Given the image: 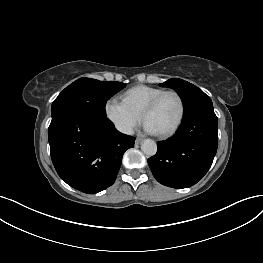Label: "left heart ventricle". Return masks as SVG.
<instances>
[{
    "label": "left heart ventricle",
    "mask_w": 263,
    "mask_h": 263,
    "mask_svg": "<svg viewBox=\"0 0 263 263\" xmlns=\"http://www.w3.org/2000/svg\"><path fill=\"white\" fill-rule=\"evenodd\" d=\"M180 114V103L173 94H168L160 101L157 107L148 114L146 123L151 125L157 134L170 130Z\"/></svg>",
    "instance_id": "1"
}]
</instances>
